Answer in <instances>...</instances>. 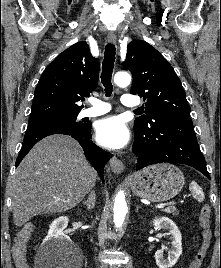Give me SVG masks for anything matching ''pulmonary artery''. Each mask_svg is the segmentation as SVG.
Listing matches in <instances>:
<instances>
[{
    "instance_id": "pulmonary-artery-1",
    "label": "pulmonary artery",
    "mask_w": 221,
    "mask_h": 268,
    "mask_svg": "<svg viewBox=\"0 0 221 268\" xmlns=\"http://www.w3.org/2000/svg\"><path fill=\"white\" fill-rule=\"evenodd\" d=\"M122 103L127 107H137L140 105V100L132 95L125 94L121 98ZM91 107L84 109L80 112L81 118H92L101 116L110 111L111 107L108 103L98 100L92 99L90 100Z\"/></svg>"
}]
</instances>
